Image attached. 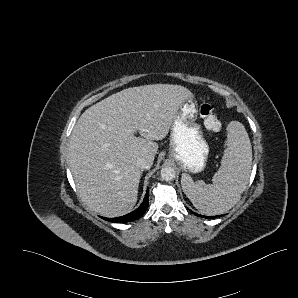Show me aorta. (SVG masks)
I'll use <instances>...</instances> for the list:
<instances>
[{"label":"aorta","mask_w":298,"mask_h":298,"mask_svg":"<svg viewBox=\"0 0 298 298\" xmlns=\"http://www.w3.org/2000/svg\"><path fill=\"white\" fill-rule=\"evenodd\" d=\"M160 177L165 181L174 180L176 177V170L171 166H165L160 170Z\"/></svg>","instance_id":"aorta-1"}]
</instances>
